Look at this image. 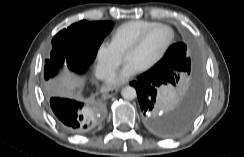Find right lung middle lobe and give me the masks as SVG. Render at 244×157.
<instances>
[{"mask_svg": "<svg viewBox=\"0 0 244 157\" xmlns=\"http://www.w3.org/2000/svg\"><path fill=\"white\" fill-rule=\"evenodd\" d=\"M113 26L111 21L89 22L81 20L67 29L61 30L52 39L51 58L45 62V79L48 80L54 76L64 61L73 71L78 73L86 71L94 61L104 37L112 30ZM46 93L50 94V90L46 89ZM87 109L96 114L101 113L99 105L91 107L88 103Z\"/></svg>", "mask_w": 244, "mask_h": 157, "instance_id": "obj_1", "label": "right lung middle lobe"}]
</instances>
